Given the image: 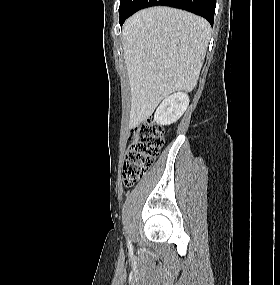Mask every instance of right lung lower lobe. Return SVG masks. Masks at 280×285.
I'll list each match as a JSON object with an SVG mask.
<instances>
[{
    "mask_svg": "<svg viewBox=\"0 0 280 285\" xmlns=\"http://www.w3.org/2000/svg\"><path fill=\"white\" fill-rule=\"evenodd\" d=\"M158 5L187 10L204 17L213 26L216 0H138L130 15L140 9ZM126 18L119 20L120 25L124 23Z\"/></svg>",
    "mask_w": 280,
    "mask_h": 285,
    "instance_id": "98d812e1",
    "label": "right lung lower lobe"
}]
</instances>
